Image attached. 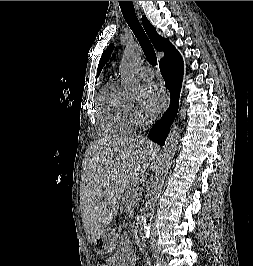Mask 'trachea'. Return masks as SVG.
Wrapping results in <instances>:
<instances>
[{
  "instance_id": "obj_1",
  "label": "trachea",
  "mask_w": 253,
  "mask_h": 266,
  "mask_svg": "<svg viewBox=\"0 0 253 266\" xmlns=\"http://www.w3.org/2000/svg\"><path fill=\"white\" fill-rule=\"evenodd\" d=\"M121 12L127 24L135 34L141 48L146 56V59L152 66L157 65V57L154 47L142 28L134 9L132 1H119Z\"/></svg>"
}]
</instances>
